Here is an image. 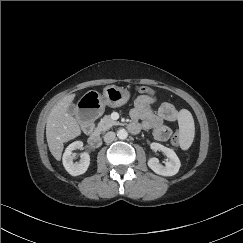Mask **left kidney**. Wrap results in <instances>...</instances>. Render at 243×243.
Returning <instances> with one entry per match:
<instances>
[{
    "instance_id": "obj_1",
    "label": "left kidney",
    "mask_w": 243,
    "mask_h": 243,
    "mask_svg": "<svg viewBox=\"0 0 243 243\" xmlns=\"http://www.w3.org/2000/svg\"><path fill=\"white\" fill-rule=\"evenodd\" d=\"M151 149L154 151H162L167 156L168 160L165 166H162L157 158H151L148 160L150 169L162 176H173L178 173L181 164L178 156L172 149L159 143H152Z\"/></svg>"
}]
</instances>
